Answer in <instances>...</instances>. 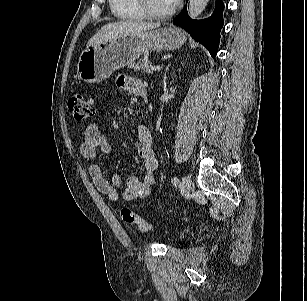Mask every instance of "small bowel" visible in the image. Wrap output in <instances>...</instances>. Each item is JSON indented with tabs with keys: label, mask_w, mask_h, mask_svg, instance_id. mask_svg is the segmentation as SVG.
<instances>
[{
	"label": "small bowel",
	"mask_w": 307,
	"mask_h": 301,
	"mask_svg": "<svg viewBox=\"0 0 307 301\" xmlns=\"http://www.w3.org/2000/svg\"><path fill=\"white\" fill-rule=\"evenodd\" d=\"M117 84L123 90L135 95H139L138 91L144 87L140 80L130 76H120ZM136 136L138 141L136 154L143 162V176L142 179H138L135 176L128 178L126 188L122 193V197L126 200H134L149 195L158 165L153 150L152 136L148 128L143 125L138 126ZM98 151L105 155L108 154L110 144L99 127L96 124H90L84 131V137L80 144V153L84 158L93 160ZM88 171L94 186L99 192L107 195L113 201L119 198L120 180L118 177L113 176L111 179H107L102 174L97 163H91Z\"/></svg>",
	"instance_id": "small-bowel-1"
}]
</instances>
